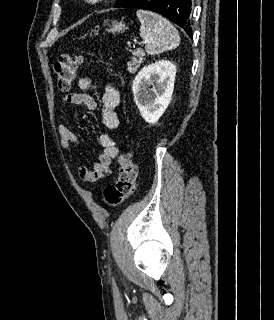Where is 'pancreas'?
<instances>
[{
  "instance_id": "1",
  "label": "pancreas",
  "mask_w": 274,
  "mask_h": 320,
  "mask_svg": "<svg viewBox=\"0 0 274 320\" xmlns=\"http://www.w3.org/2000/svg\"><path fill=\"white\" fill-rule=\"evenodd\" d=\"M132 54L133 58H131L130 62H128L127 70L130 72V74H135V72H137V68H139L142 62H144V56H146V54L143 52V50H136V52H132Z\"/></svg>"
}]
</instances>
